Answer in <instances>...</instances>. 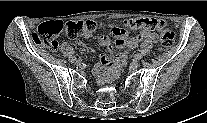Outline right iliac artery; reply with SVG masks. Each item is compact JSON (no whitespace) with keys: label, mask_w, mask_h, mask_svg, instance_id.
<instances>
[{"label":"right iliac artery","mask_w":207,"mask_h":123,"mask_svg":"<svg viewBox=\"0 0 207 123\" xmlns=\"http://www.w3.org/2000/svg\"><path fill=\"white\" fill-rule=\"evenodd\" d=\"M75 60H76L75 57H70V58H69V61H70V62H73V61H75Z\"/></svg>","instance_id":"obj_1"}]
</instances>
